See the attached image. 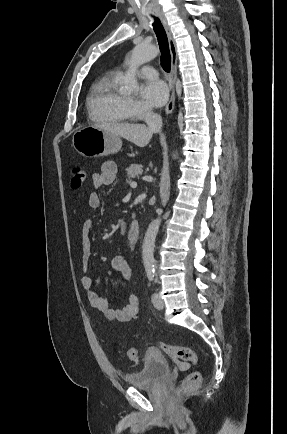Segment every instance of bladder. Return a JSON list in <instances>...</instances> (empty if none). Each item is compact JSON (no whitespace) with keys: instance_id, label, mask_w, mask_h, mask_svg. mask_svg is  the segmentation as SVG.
<instances>
[{"instance_id":"1","label":"bladder","mask_w":287,"mask_h":434,"mask_svg":"<svg viewBox=\"0 0 287 434\" xmlns=\"http://www.w3.org/2000/svg\"><path fill=\"white\" fill-rule=\"evenodd\" d=\"M170 372L168 359L160 352L149 351L142 365L125 377V383L132 387H148Z\"/></svg>"}]
</instances>
